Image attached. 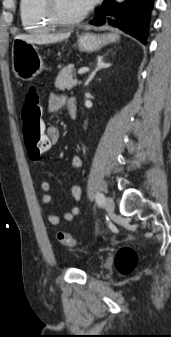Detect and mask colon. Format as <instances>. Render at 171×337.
Listing matches in <instances>:
<instances>
[{
  "label": "colon",
  "instance_id": "obj_1",
  "mask_svg": "<svg viewBox=\"0 0 171 337\" xmlns=\"http://www.w3.org/2000/svg\"><path fill=\"white\" fill-rule=\"evenodd\" d=\"M45 106L44 100H39L35 88H30L26 93L21 108L22 133L28 156L36 160L51 147V140L44 134L42 126L41 107ZM57 240L64 246L73 248L77 241L68 233L59 231ZM138 262V256L134 249L125 246L120 248L115 256V266L123 274L131 273Z\"/></svg>",
  "mask_w": 171,
  "mask_h": 337
}]
</instances>
